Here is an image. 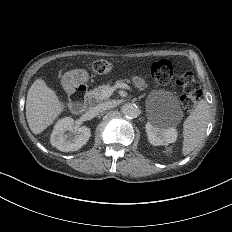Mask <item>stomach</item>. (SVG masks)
Instances as JSON below:
<instances>
[{"instance_id":"0dacf381","label":"stomach","mask_w":232,"mask_h":232,"mask_svg":"<svg viewBox=\"0 0 232 232\" xmlns=\"http://www.w3.org/2000/svg\"><path fill=\"white\" fill-rule=\"evenodd\" d=\"M88 74V72L86 70H82V72H80L79 75H77V78L79 79V81H84L83 77L86 76Z\"/></svg>"}]
</instances>
